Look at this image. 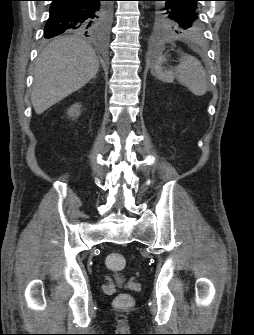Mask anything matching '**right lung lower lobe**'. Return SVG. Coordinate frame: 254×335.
Segmentation results:
<instances>
[{"instance_id": "obj_1", "label": "right lung lower lobe", "mask_w": 254, "mask_h": 335, "mask_svg": "<svg viewBox=\"0 0 254 335\" xmlns=\"http://www.w3.org/2000/svg\"><path fill=\"white\" fill-rule=\"evenodd\" d=\"M50 16L45 24V38L64 32H90L102 11L103 0H51Z\"/></svg>"}]
</instances>
